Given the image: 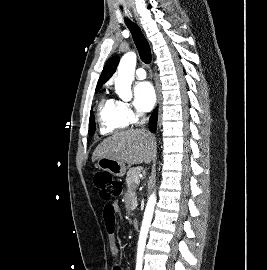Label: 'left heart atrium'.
<instances>
[{
  "label": "left heart atrium",
  "mask_w": 267,
  "mask_h": 270,
  "mask_svg": "<svg viewBox=\"0 0 267 270\" xmlns=\"http://www.w3.org/2000/svg\"><path fill=\"white\" fill-rule=\"evenodd\" d=\"M155 92L149 82H139L134 88V103L141 112L151 110L155 103Z\"/></svg>",
  "instance_id": "1"
}]
</instances>
